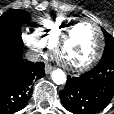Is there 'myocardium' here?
I'll list each match as a JSON object with an SVG mask.
<instances>
[{"instance_id":"myocardium-1","label":"myocardium","mask_w":114,"mask_h":114,"mask_svg":"<svg viewBox=\"0 0 114 114\" xmlns=\"http://www.w3.org/2000/svg\"><path fill=\"white\" fill-rule=\"evenodd\" d=\"M91 23L94 28L96 29L98 33V38H99V43L96 52L94 55L86 62L82 64H73L69 62L68 60L65 59L63 55V50L66 46V44L69 42L71 39L75 29L82 23ZM105 47V39H104V34L102 31V28L99 26L98 23H96L94 20L89 19V18H82L79 20L74 21L72 24L68 26V28L63 32L61 37L59 38L56 46H55V56L57 60L66 68L76 71V72H83L87 71L90 68H92L101 58L103 54V50Z\"/></svg>"}]
</instances>
